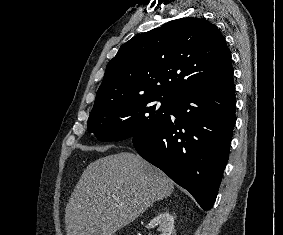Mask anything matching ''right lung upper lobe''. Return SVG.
<instances>
[{"label": "right lung upper lobe", "mask_w": 283, "mask_h": 235, "mask_svg": "<svg viewBox=\"0 0 283 235\" xmlns=\"http://www.w3.org/2000/svg\"><path fill=\"white\" fill-rule=\"evenodd\" d=\"M233 73L218 28L186 17L139 34L108 63L94 106L143 96L174 98Z\"/></svg>", "instance_id": "1"}]
</instances>
